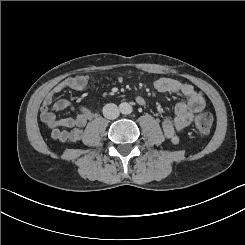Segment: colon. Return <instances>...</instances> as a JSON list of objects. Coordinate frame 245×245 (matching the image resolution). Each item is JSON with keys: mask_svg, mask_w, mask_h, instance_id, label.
I'll list each match as a JSON object with an SVG mask.
<instances>
[{"mask_svg": "<svg viewBox=\"0 0 245 245\" xmlns=\"http://www.w3.org/2000/svg\"><path fill=\"white\" fill-rule=\"evenodd\" d=\"M213 125V116L211 113L204 112L195 118V128L201 134H208Z\"/></svg>", "mask_w": 245, "mask_h": 245, "instance_id": "obj_1", "label": "colon"}]
</instances>
